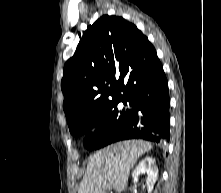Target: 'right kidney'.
<instances>
[{
    "mask_svg": "<svg viewBox=\"0 0 221 193\" xmlns=\"http://www.w3.org/2000/svg\"><path fill=\"white\" fill-rule=\"evenodd\" d=\"M147 173L146 185L148 193H151L153 186L158 178V168L155 165V159L152 157L144 158L135 168L132 173L134 183L138 181L140 174Z\"/></svg>",
    "mask_w": 221,
    "mask_h": 193,
    "instance_id": "right-kidney-1",
    "label": "right kidney"
}]
</instances>
